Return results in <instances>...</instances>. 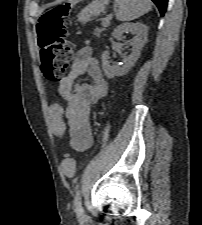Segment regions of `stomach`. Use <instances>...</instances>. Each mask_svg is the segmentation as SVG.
Listing matches in <instances>:
<instances>
[{"label":"stomach","mask_w":202,"mask_h":225,"mask_svg":"<svg viewBox=\"0 0 202 225\" xmlns=\"http://www.w3.org/2000/svg\"><path fill=\"white\" fill-rule=\"evenodd\" d=\"M109 0H93L90 4L84 7L77 15V19L81 23H86L91 17L100 15L105 10V6Z\"/></svg>","instance_id":"obj_1"}]
</instances>
